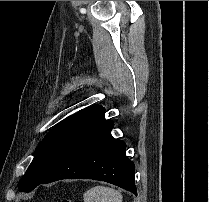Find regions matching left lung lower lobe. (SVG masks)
Returning <instances> with one entry per match:
<instances>
[{
    "instance_id": "1",
    "label": "left lung lower lobe",
    "mask_w": 209,
    "mask_h": 202,
    "mask_svg": "<svg viewBox=\"0 0 209 202\" xmlns=\"http://www.w3.org/2000/svg\"><path fill=\"white\" fill-rule=\"evenodd\" d=\"M101 108L88 117L62 147L46 184L69 178H89L112 183L137 195L135 165L125 154L126 144L114 139L111 120Z\"/></svg>"
}]
</instances>
